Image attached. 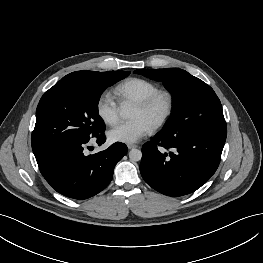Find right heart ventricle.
Wrapping results in <instances>:
<instances>
[{
  "label": "right heart ventricle",
  "mask_w": 263,
  "mask_h": 263,
  "mask_svg": "<svg viewBox=\"0 0 263 263\" xmlns=\"http://www.w3.org/2000/svg\"><path fill=\"white\" fill-rule=\"evenodd\" d=\"M159 89V86L150 80L134 77L118 84L114 94L122 105H129L147 98Z\"/></svg>",
  "instance_id": "1"
}]
</instances>
